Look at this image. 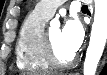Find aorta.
I'll return each mask as SVG.
<instances>
[{
	"label": "aorta",
	"mask_w": 107,
	"mask_h": 75,
	"mask_svg": "<svg viewBox=\"0 0 107 75\" xmlns=\"http://www.w3.org/2000/svg\"><path fill=\"white\" fill-rule=\"evenodd\" d=\"M94 4V22L84 61V75H95L107 42V0H94Z\"/></svg>",
	"instance_id": "762f6f07"
}]
</instances>
